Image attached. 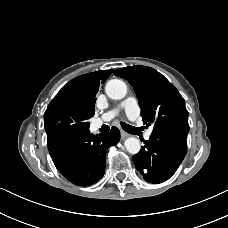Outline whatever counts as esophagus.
<instances>
[{"label":"esophagus","mask_w":228,"mask_h":228,"mask_svg":"<svg viewBox=\"0 0 228 228\" xmlns=\"http://www.w3.org/2000/svg\"><path fill=\"white\" fill-rule=\"evenodd\" d=\"M127 137H129V134L126 133L125 131H121V139L124 140V139H126Z\"/></svg>","instance_id":"obj_1"}]
</instances>
